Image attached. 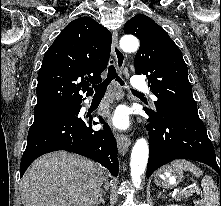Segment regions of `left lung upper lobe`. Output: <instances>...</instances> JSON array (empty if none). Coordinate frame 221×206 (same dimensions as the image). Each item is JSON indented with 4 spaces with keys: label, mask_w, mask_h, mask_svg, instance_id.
I'll use <instances>...</instances> for the list:
<instances>
[{
    "label": "left lung upper lobe",
    "mask_w": 221,
    "mask_h": 206,
    "mask_svg": "<svg viewBox=\"0 0 221 206\" xmlns=\"http://www.w3.org/2000/svg\"><path fill=\"white\" fill-rule=\"evenodd\" d=\"M126 34L140 40L135 56V72L148 77V85L158 98L155 117H198L197 104L193 99L188 69L182 53L166 31L145 15H136L124 26Z\"/></svg>",
    "instance_id": "1"
}]
</instances>
